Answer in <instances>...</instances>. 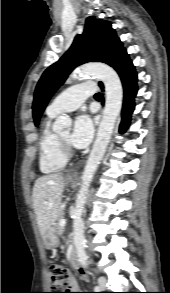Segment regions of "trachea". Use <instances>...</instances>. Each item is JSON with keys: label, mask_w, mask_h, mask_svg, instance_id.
I'll use <instances>...</instances> for the list:
<instances>
[{"label": "trachea", "mask_w": 170, "mask_h": 293, "mask_svg": "<svg viewBox=\"0 0 170 293\" xmlns=\"http://www.w3.org/2000/svg\"><path fill=\"white\" fill-rule=\"evenodd\" d=\"M95 97H102L101 93H96Z\"/></svg>", "instance_id": "3493384b"}]
</instances>
